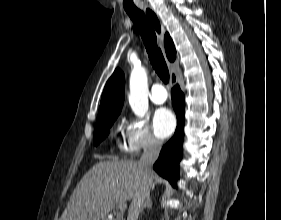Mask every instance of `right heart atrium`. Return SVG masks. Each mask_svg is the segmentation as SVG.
<instances>
[{"instance_id": "1", "label": "right heart atrium", "mask_w": 281, "mask_h": 220, "mask_svg": "<svg viewBox=\"0 0 281 220\" xmlns=\"http://www.w3.org/2000/svg\"><path fill=\"white\" fill-rule=\"evenodd\" d=\"M160 145V140L144 120L137 118L128 120L125 126V146L128 151L138 153L157 149Z\"/></svg>"}]
</instances>
